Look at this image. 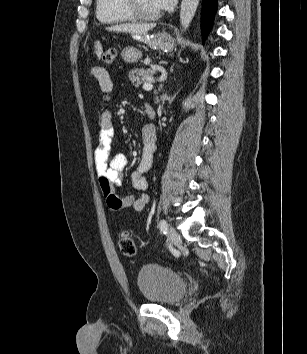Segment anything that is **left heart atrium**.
Returning a JSON list of instances; mask_svg holds the SVG:
<instances>
[{
  "label": "left heart atrium",
  "mask_w": 307,
  "mask_h": 354,
  "mask_svg": "<svg viewBox=\"0 0 307 354\" xmlns=\"http://www.w3.org/2000/svg\"><path fill=\"white\" fill-rule=\"evenodd\" d=\"M159 10L170 9L176 2V0H155Z\"/></svg>",
  "instance_id": "left-heart-atrium-1"
}]
</instances>
